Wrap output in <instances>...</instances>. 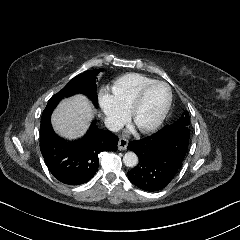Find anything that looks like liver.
<instances>
[{"label": "liver", "instance_id": "6515ba94", "mask_svg": "<svg viewBox=\"0 0 240 240\" xmlns=\"http://www.w3.org/2000/svg\"><path fill=\"white\" fill-rule=\"evenodd\" d=\"M94 114L90 101L78 94L60 102L52 114V124L60 136L76 139L85 134Z\"/></svg>", "mask_w": 240, "mask_h": 240}]
</instances>
